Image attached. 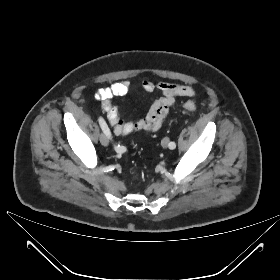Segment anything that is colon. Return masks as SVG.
I'll return each instance as SVG.
<instances>
[{
	"instance_id": "1",
	"label": "colon",
	"mask_w": 280,
	"mask_h": 280,
	"mask_svg": "<svg viewBox=\"0 0 280 280\" xmlns=\"http://www.w3.org/2000/svg\"><path fill=\"white\" fill-rule=\"evenodd\" d=\"M184 109L187 111H195L196 110V104L192 101H187L183 105Z\"/></svg>"
}]
</instances>
